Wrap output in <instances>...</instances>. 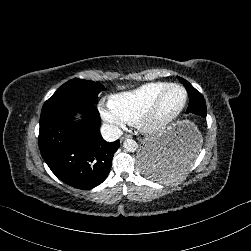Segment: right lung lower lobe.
<instances>
[{
    "label": "right lung lower lobe",
    "instance_id": "1",
    "mask_svg": "<svg viewBox=\"0 0 251 251\" xmlns=\"http://www.w3.org/2000/svg\"><path fill=\"white\" fill-rule=\"evenodd\" d=\"M77 112L83 118L79 123L73 121ZM99 129L95 104L78 100L44 103L39 148L58 179L82 190L92 189L106 179L120 142L105 141Z\"/></svg>",
    "mask_w": 251,
    "mask_h": 251
}]
</instances>
